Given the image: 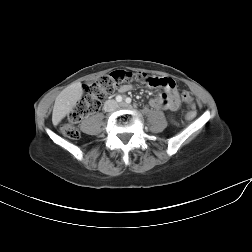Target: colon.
<instances>
[{
	"instance_id": "1",
	"label": "colon",
	"mask_w": 252,
	"mask_h": 252,
	"mask_svg": "<svg viewBox=\"0 0 252 252\" xmlns=\"http://www.w3.org/2000/svg\"><path fill=\"white\" fill-rule=\"evenodd\" d=\"M141 72H130L125 70L113 71L109 74L101 76L94 83L90 84L85 92V95L75 104L70 112L67 120L60 124V132L71 139L79 137L77 123L84 117L98 111L102 101L115 91H122L131 83H142L147 86H152L149 79ZM183 101L188 105L186 119L192 120L196 116L193 96L190 92L182 93Z\"/></svg>"
}]
</instances>
